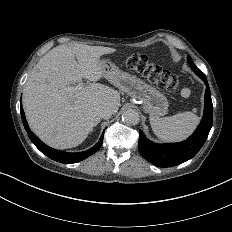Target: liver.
I'll list each match as a JSON object with an SVG mask.
<instances>
[{
	"mask_svg": "<svg viewBox=\"0 0 232 232\" xmlns=\"http://www.w3.org/2000/svg\"><path fill=\"white\" fill-rule=\"evenodd\" d=\"M115 51L69 43L51 49L38 61L23 90V108L31 130L44 143L57 149L76 147L101 121L97 114L100 106L118 111L120 93L95 83L103 77L100 57ZM83 78L93 83L74 92L68 90Z\"/></svg>",
	"mask_w": 232,
	"mask_h": 232,
	"instance_id": "obj_1",
	"label": "liver"
}]
</instances>
